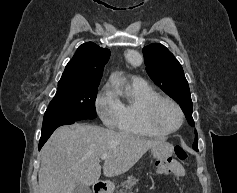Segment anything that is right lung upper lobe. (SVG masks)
<instances>
[{"mask_svg": "<svg viewBox=\"0 0 237 193\" xmlns=\"http://www.w3.org/2000/svg\"><path fill=\"white\" fill-rule=\"evenodd\" d=\"M110 57V51L93 42L79 46L68 62L60 81L99 85L103 68Z\"/></svg>", "mask_w": 237, "mask_h": 193, "instance_id": "obj_1", "label": "right lung upper lobe"}]
</instances>
